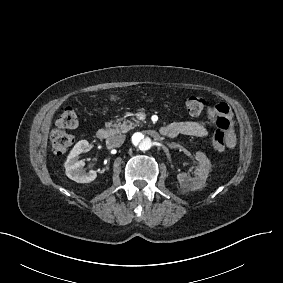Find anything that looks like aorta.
I'll return each instance as SVG.
<instances>
[{"mask_svg": "<svg viewBox=\"0 0 283 283\" xmlns=\"http://www.w3.org/2000/svg\"><path fill=\"white\" fill-rule=\"evenodd\" d=\"M153 146V141L145 132H135L131 137V147L139 152H147Z\"/></svg>", "mask_w": 283, "mask_h": 283, "instance_id": "1", "label": "aorta"}]
</instances>
